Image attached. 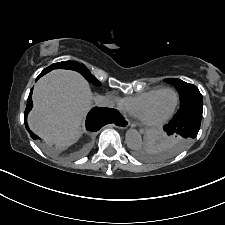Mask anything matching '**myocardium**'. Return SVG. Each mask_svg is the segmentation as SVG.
Instances as JSON below:
<instances>
[{"label":"myocardium","mask_w":225,"mask_h":225,"mask_svg":"<svg viewBox=\"0 0 225 225\" xmlns=\"http://www.w3.org/2000/svg\"><path fill=\"white\" fill-rule=\"evenodd\" d=\"M167 91H171L176 95V104H175L173 110L170 112V114L167 117H165L164 119H162L158 122L147 121L146 114H147L148 110L150 109L151 105L153 104V102L156 100V98L159 95H161L162 93L167 92ZM179 105H180V95H179L178 91L173 88H170V87L162 88L146 103V105L143 107L138 118H139L140 122L142 123V125L145 126L146 128H151V129L152 128H161L172 120V118L174 117V115L176 114V112L179 108Z\"/></svg>","instance_id":"obj_1"}]
</instances>
